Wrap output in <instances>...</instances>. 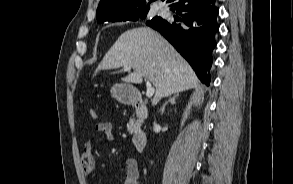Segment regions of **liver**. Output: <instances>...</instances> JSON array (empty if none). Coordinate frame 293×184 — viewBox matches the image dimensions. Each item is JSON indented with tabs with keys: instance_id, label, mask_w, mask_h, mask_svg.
I'll return each instance as SVG.
<instances>
[{
	"instance_id": "liver-1",
	"label": "liver",
	"mask_w": 293,
	"mask_h": 184,
	"mask_svg": "<svg viewBox=\"0 0 293 184\" xmlns=\"http://www.w3.org/2000/svg\"><path fill=\"white\" fill-rule=\"evenodd\" d=\"M126 66L134 72L123 77V81L140 84L147 77L153 82L156 88L153 104L200 83L186 60L163 36L149 27H137L122 33L97 70Z\"/></svg>"
}]
</instances>
